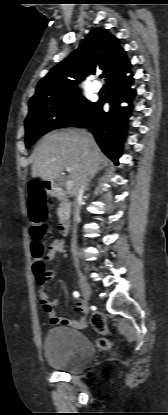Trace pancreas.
<instances>
[{"instance_id":"pancreas-1","label":"pancreas","mask_w":168,"mask_h":415,"mask_svg":"<svg viewBox=\"0 0 168 415\" xmlns=\"http://www.w3.org/2000/svg\"><path fill=\"white\" fill-rule=\"evenodd\" d=\"M70 207V202L65 200L64 204L57 209V213L60 219H63L66 216V214L70 212Z\"/></svg>"}]
</instances>
